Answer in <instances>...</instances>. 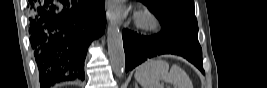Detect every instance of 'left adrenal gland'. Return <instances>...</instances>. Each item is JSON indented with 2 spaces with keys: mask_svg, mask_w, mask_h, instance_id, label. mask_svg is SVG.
Instances as JSON below:
<instances>
[{
  "mask_svg": "<svg viewBox=\"0 0 267 88\" xmlns=\"http://www.w3.org/2000/svg\"><path fill=\"white\" fill-rule=\"evenodd\" d=\"M135 88H138V85L137 84H135Z\"/></svg>",
  "mask_w": 267,
  "mask_h": 88,
  "instance_id": "a2214340",
  "label": "left adrenal gland"
}]
</instances>
